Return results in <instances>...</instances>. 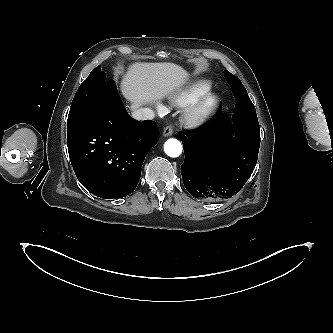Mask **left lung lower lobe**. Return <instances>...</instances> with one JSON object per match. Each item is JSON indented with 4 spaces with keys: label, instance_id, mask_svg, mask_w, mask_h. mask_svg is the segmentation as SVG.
<instances>
[{
    "label": "left lung lower lobe",
    "instance_id": "obj_1",
    "mask_svg": "<svg viewBox=\"0 0 333 333\" xmlns=\"http://www.w3.org/2000/svg\"><path fill=\"white\" fill-rule=\"evenodd\" d=\"M254 120L255 132L249 125H232L219 116L196 132L180 135L185 152L181 173L190 194L217 201L241 190L258 158L259 124L255 114Z\"/></svg>",
    "mask_w": 333,
    "mask_h": 333
}]
</instances>
